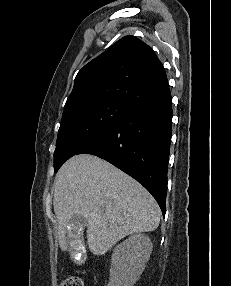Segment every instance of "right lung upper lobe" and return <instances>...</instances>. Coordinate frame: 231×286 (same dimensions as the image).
Masks as SVG:
<instances>
[{
  "label": "right lung upper lobe",
  "mask_w": 231,
  "mask_h": 286,
  "mask_svg": "<svg viewBox=\"0 0 231 286\" xmlns=\"http://www.w3.org/2000/svg\"><path fill=\"white\" fill-rule=\"evenodd\" d=\"M167 80L155 52L134 36H125L77 74L63 116L103 101L125 104Z\"/></svg>",
  "instance_id": "obj_1"
}]
</instances>
